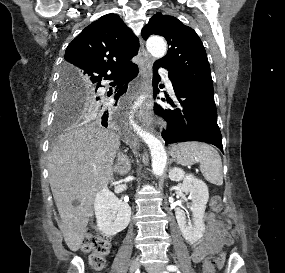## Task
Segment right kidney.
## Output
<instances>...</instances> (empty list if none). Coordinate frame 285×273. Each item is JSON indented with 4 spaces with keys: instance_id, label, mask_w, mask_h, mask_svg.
<instances>
[{
    "instance_id": "1",
    "label": "right kidney",
    "mask_w": 285,
    "mask_h": 273,
    "mask_svg": "<svg viewBox=\"0 0 285 273\" xmlns=\"http://www.w3.org/2000/svg\"><path fill=\"white\" fill-rule=\"evenodd\" d=\"M94 210L97 227L106 236L116 235L130 222V206L121 202L106 186L96 194Z\"/></svg>"
}]
</instances>
